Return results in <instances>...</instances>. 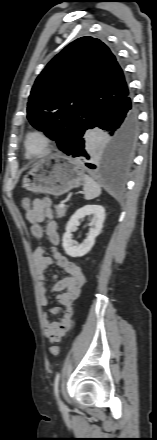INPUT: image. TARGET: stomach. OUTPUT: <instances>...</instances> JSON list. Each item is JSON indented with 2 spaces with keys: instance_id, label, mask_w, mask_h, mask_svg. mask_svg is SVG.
I'll return each instance as SVG.
<instances>
[{
  "instance_id": "obj_1",
  "label": "stomach",
  "mask_w": 157,
  "mask_h": 440,
  "mask_svg": "<svg viewBox=\"0 0 157 440\" xmlns=\"http://www.w3.org/2000/svg\"><path fill=\"white\" fill-rule=\"evenodd\" d=\"M82 165L65 155L54 154L35 162L22 179V187L34 193L59 196L83 183Z\"/></svg>"
}]
</instances>
